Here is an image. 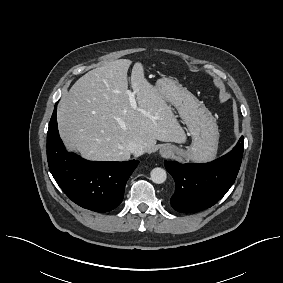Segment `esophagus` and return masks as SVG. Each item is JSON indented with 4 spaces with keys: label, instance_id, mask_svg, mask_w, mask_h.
Segmentation results:
<instances>
[{
    "label": "esophagus",
    "instance_id": "1",
    "mask_svg": "<svg viewBox=\"0 0 283 283\" xmlns=\"http://www.w3.org/2000/svg\"><path fill=\"white\" fill-rule=\"evenodd\" d=\"M160 152L163 156H168L170 154V150L168 148H163Z\"/></svg>",
    "mask_w": 283,
    "mask_h": 283
}]
</instances>
